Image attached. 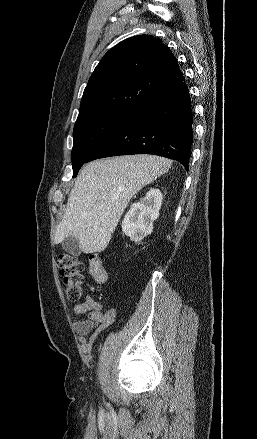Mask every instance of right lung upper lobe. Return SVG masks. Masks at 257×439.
<instances>
[{
	"label": "right lung upper lobe",
	"mask_w": 257,
	"mask_h": 439,
	"mask_svg": "<svg viewBox=\"0 0 257 439\" xmlns=\"http://www.w3.org/2000/svg\"><path fill=\"white\" fill-rule=\"evenodd\" d=\"M184 81L177 60L150 35L128 38L96 66L80 104L79 116L114 112L131 115L162 92Z\"/></svg>",
	"instance_id": "1"
}]
</instances>
